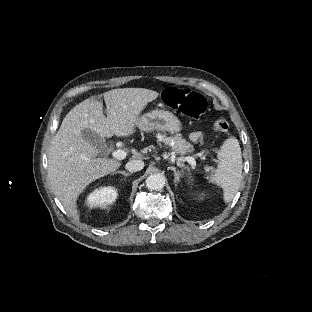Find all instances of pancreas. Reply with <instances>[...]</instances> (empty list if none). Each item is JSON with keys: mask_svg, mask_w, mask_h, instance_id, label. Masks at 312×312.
Masks as SVG:
<instances>
[{"mask_svg": "<svg viewBox=\"0 0 312 312\" xmlns=\"http://www.w3.org/2000/svg\"><path fill=\"white\" fill-rule=\"evenodd\" d=\"M161 141L165 145L171 146L172 151L176 154L184 155L187 152L194 151L193 145L187 142L184 138H182L181 134H175L174 136L170 137L161 135Z\"/></svg>", "mask_w": 312, "mask_h": 312, "instance_id": "pancreas-1", "label": "pancreas"}]
</instances>
